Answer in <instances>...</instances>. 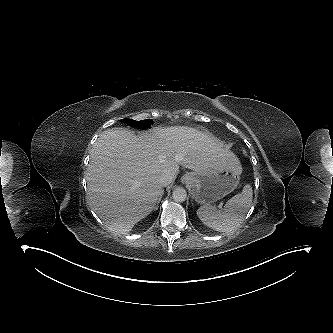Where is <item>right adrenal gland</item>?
Masks as SVG:
<instances>
[{"mask_svg":"<svg viewBox=\"0 0 333 333\" xmlns=\"http://www.w3.org/2000/svg\"><path fill=\"white\" fill-rule=\"evenodd\" d=\"M160 200H161V198H159V200H158V202H157V206L154 207V210H157V209H158V205H159V203H160Z\"/></svg>","mask_w":333,"mask_h":333,"instance_id":"obj_1","label":"right adrenal gland"}]
</instances>
